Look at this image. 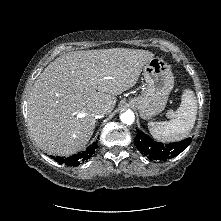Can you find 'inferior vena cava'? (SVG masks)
<instances>
[{
  "instance_id": "inferior-vena-cava-1",
  "label": "inferior vena cava",
  "mask_w": 221,
  "mask_h": 221,
  "mask_svg": "<svg viewBox=\"0 0 221 221\" xmlns=\"http://www.w3.org/2000/svg\"><path fill=\"white\" fill-rule=\"evenodd\" d=\"M107 110L104 107H95L91 114L93 117H95L96 119L98 118H102L105 114H106Z\"/></svg>"
}]
</instances>
